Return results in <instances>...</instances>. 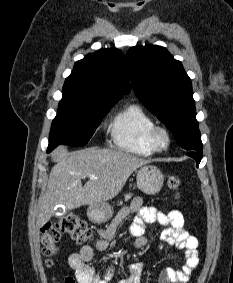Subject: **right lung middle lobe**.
<instances>
[{
	"mask_svg": "<svg viewBox=\"0 0 233 283\" xmlns=\"http://www.w3.org/2000/svg\"><path fill=\"white\" fill-rule=\"evenodd\" d=\"M113 105L91 104L65 93L51 125L48 151L59 144L84 146Z\"/></svg>",
	"mask_w": 233,
	"mask_h": 283,
	"instance_id": "dd1d6c3e",
	"label": "right lung middle lobe"
}]
</instances>
